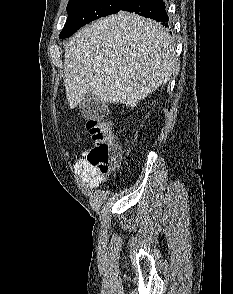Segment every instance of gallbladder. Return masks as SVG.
<instances>
[{
    "instance_id": "bac80fb5",
    "label": "gallbladder",
    "mask_w": 233,
    "mask_h": 294,
    "mask_svg": "<svg viewBox=\"0 0 233 294\" xmlns=\"http://www.w3.org/2000/svg\"><path fill=\"white\" fill-rule=\"evenodd\" d=\"M103 107V103L99 102L92 92L86 94L79 104V110L87 120L99 119Z\"/></svg>"
}]
</instances>
